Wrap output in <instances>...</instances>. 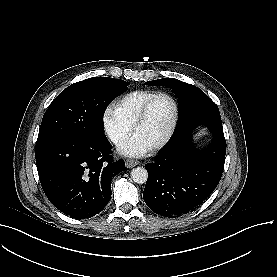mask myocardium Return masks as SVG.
Wrapping results in <instances>:
<instances>
[{
    "instance_id": "1",
    "label": "myocardium",
    "mask_w": 277,
    "mask_h": 277,
    "mask_svg": "<svg viewBox=\"0 0 277 277\" xmlns=\"http://www.w3.org/2000/svg\"><path fill=\"white\" fill-rule=\"evenodd\" d=\"M158 98H164L169 100L172 103V107H173V111H172V118L169 124V127L164 135V137L151 145H148L150 150H155L158 149L160 147H162L163 145H165L169 139L171 138L174 129L176 127V123H177V118H178V108L177 105L175 103V101L172 99V97H170L169 95L165 94V93H156L144 106V108L142 109V111L140 112V114L138 115V117L136 118L134 125H133V129H132V135L136 136L138 129L141 125V123L144 121L146 114L148 112L149 107L152 105V103L158 99Z\"/></svg>"
}]
</instances>
